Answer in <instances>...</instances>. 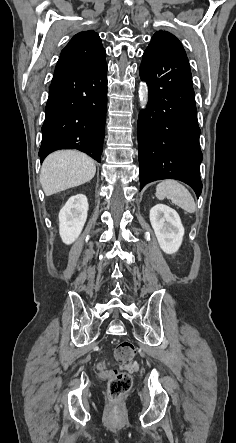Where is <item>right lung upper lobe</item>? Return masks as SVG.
Segmentation results:
<instances>
[{
  "mask_svg": "<svg viewBox=\"0 0 236 443\" xmlns=\"http://www.w3.org/2000/svg\"><path fill=\"white\" fill-rule=\"evenodd\" d=\"M105 55L99 35L92 30L83 31L74 35L62 50L56 67L98 68L106 63Z\"/></svg>",
  "mask_w": 236,
  "mask_h": 443,
  "instance_id": "obj_1",
  "label": "right lung upper lobe"
}]
</instances>
